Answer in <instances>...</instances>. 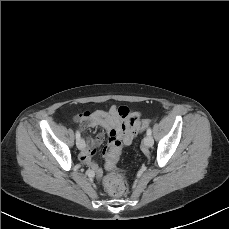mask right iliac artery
Listing matches in <instances>:
<instances>
[{
    "mask_svg": "<svg viewBox=\"0 0 229 229\" xmlns=\"http://www.w3.org/2000/svg\"><path fill=\"white\" fill-rule=\"evenodd\" d=\"M80 138H81V137H80V132L77 130V131H76V140L78 141Z\"/></svg>",
    "mask_w": 229,
    "mask_h": 229,
    "instance_id": "82829eb1",
    "label": "right iliac artery"
}]
</instances>
